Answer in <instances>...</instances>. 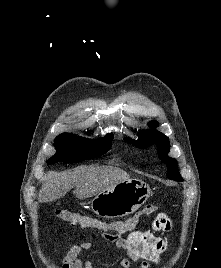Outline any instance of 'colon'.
Returning a JSON list of instances; mask_svg holds the SVG:
<instances>
[{"mask_svg": "<svg viewBox=\"0 0 221 268\" xmlns=\"http://www.w3.org/2000/svg\"><path fill=\"white\" fill-rule=\"evenodd\" d=\"M157 210V206L147 205L126 219L111 222L67 209L57 210L56 217L61 221L68 222L72 226H78L81 229H95L102 232H129L135 229L144 217L153 215Z\"/></svg>", "mask_w": 221, "mask_h": 268, "instance_id": "1", "label": "colon"}]
</instances>
